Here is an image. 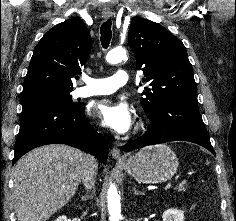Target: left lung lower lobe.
I'll return each mask as SVG.
<instances>
[{
    "label": "left lung lower lobe",
    "instance_id": "left-lung-lower-lobe-1",
    "mask_svg": "<svg viewBox=\"0 0 236 221\" xmlns=\"http://www.w3.org/2000/svg\"><path fill=\"white\" fill-rule=\"evenodd\" d=\"M147 133L124 146L129 152L151 144L170 141H190L208 149L213 155L209 135L198 110V103L168 101L161 105L152 116Z\"/></svg>",
    "mask_w": 236,
    "mask_h": 221
}]
</instances>
